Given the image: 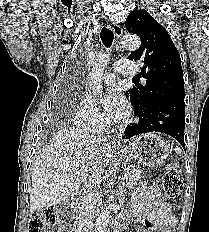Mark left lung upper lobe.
Segmentation results:
<instances>
[{
  "mask_svg": "<svg viewBox=\"0 0 209 232\" xmlns=\"http://www.w3.org/2000/svg\"><path fill=\"white\" fill-rule=\"evenodd\" d=\"M125 26L141 38V46L128 58L144 62L141 75L147 78L145 86L129 90L135 112L160 101H184L180 54L166 29L141 9L128 15Z\"/></svg>",
  "mask_w": 209,
  "mask_h": 232,
  "instance_id": "5c2ea615",
  "label": "left lung upper lobe"
}]
</instances>
